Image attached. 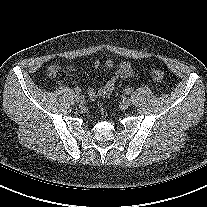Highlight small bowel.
I'll return each mask as SVG.
<instances>
[{"mask_svg":"<svg viewBox=\"0 0 207 207\" xmlns=\"http://www.w3.org/2000/svg\"><path fill=\"white\" fill-rule=\"evenodd\" d=\"M105 67L114 68L116 70L114 74L110 77V79L105 82L103 85L99 87H88L87 94L90 98L95 99L100 96L109 95L115 88L116 82L119 78H128L133 75V67L130 62L122 61L119 63H115L112 59H107L104 62ZM100 66V62L96 60L94 62V67L98 68ZM63 71L65 74L70 75L73 72V67L71 65L66 66L65 68H61L58 65H52L48 68L49 76H55L59 71Z\"/></svg>","mask_w":207,"mask_h":207,"instance_id":"obj_1","label":"small bowel"}]
</instances>
